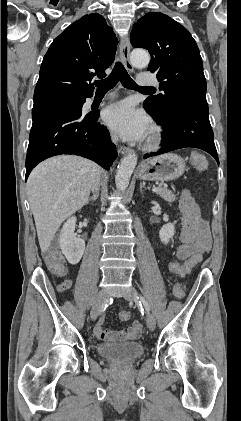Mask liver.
Wrapping results in <instances>:
<instances>
[{
    "label": "liver",
    "mask_w": 241,
    "mask_h": 421,
    "mask_svg": "<svg viewBox=\"0 0 241 421\" xmlns=\"http://www.w3.org/2000/svg\"><path fill=\"white\" fill-rule=\"evenodd\" d=\"M100 171L96 163L75 155L55 156L33 169L27 190L43 253L64 220L86 204Z\"/></svg>",
    "instance_id": "6515ba94"
}]
</instances>
